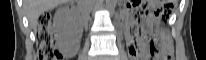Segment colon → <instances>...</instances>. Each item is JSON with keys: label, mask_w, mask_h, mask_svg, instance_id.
Masks as SVG:
<instances>
[{"label": "colon", "mask_w": 206, "mask_h": 60, "mask_svg": "<svg viewBox=\"0 0 206 60\" xmlns=\"http://www.w3.org/2000/svg\"><path fill=\"white\" fill-rule=\"evenodd\" d=\"M175 0L163 1L160 7L153 10L156 15L168 14L174 5ZM38 55L41 60H59V51L54 45V38L51 32V17L48 13H43L39 17L37 32ZM147 51L150 60H170L172 47L168 38L152 36L147 40Z\"/></svg>", "instance_id": "obj_1"}]
</instances>
